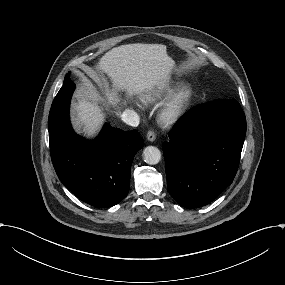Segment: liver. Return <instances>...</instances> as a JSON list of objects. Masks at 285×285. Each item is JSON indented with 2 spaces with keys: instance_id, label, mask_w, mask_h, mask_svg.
Here are the masks:
<instances>
[{
  "instance_id": "liver-1",
  "label": "liver",
  "mask_w": 285,
  "mask_h": 285,
  "mask_svg": "<svg viewBox=\"0 0 285 285\" xmlns=\"http://www.w3.org/2000/svg\"><path fill=\"white\" fill-rule=\"evenodd\" d=\"M174 66L165 45L134 43L114 47L93 68L86 65L82 68L99 87L105 88L108 103L117 105V93L109 90V82L102 77L104 73L115 89L125 90L128 96H133L164 90L169 85ZM76 99L72 105L73 125L92 137L104 121L98 105L103 98L92 82L85 78L84 88L76 94Z\"/></svg>"
}]
</instances>
